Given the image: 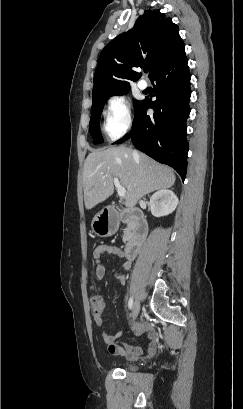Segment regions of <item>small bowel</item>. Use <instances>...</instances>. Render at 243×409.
<instances>
[{
  "mask_svg": "<svg viewBox=\"0 0 243 409\" xmlns=\"http://www.w3.org/2000/svg\"><path fill=\"white\" fill-rule=\"evenodd\" d=\"M105 255H113L118 258H123L122 269L129 270L131 267L130 260L126 257L123 250L114 245H98L93 251V260L95 265V276L98 281L102 280L105 275V268L102 259ZM115 278L121 283L126 282V276L123 274H116ZM105 305L101 309L94 311V321L98 327H103L106 323ZM136 337H141L144 334L148 336V342L145 345H133L129 343L119 344L117 339L122 336V333L110 335L102 334V338L107 345L109 353L125 357L127 360L134 361L144 356L145 358H152L156 355L159 347V337L157 332L152 329L147 323H141L136 328Z\"/></svg>",
  "mask_w": 243,
  "mask_h": 409,
  "instance_id": "obj_1",
  "label": "small bowel"
}]
</instances>
